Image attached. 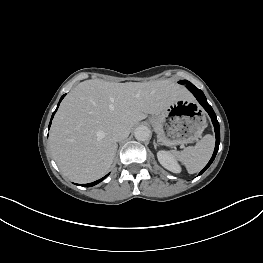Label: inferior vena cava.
<instances>
[{"label": "inferior vena cava", "mask_w": 263, "mask_h": 263, "mask_svg": "<svg viewBox=\"0 0 263 263\" xmlns=\"http://www.w3.org/2000/svg\"><path fill=\"white\" fill-rule=\"evenodd\" d=\"M129 129L123 125H117L112 130V137L115 141H121L129 136Z\"/></svg>", "instance_id": "602c4592"}]
</instances>
